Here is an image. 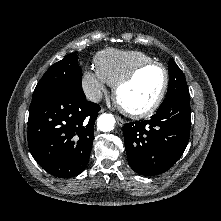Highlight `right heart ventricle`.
Instances as JSON below:
<instances>
[{
  "mask_svg": "<svg viewBox=\"0 0 221 221\" xmlns=\"http://www.w3.org/2000/svg\"><path fill=\"white\" fill-rule=\"evenodd\" d=\"M153 60L148 54L137 50L107 49L95 57L96 72L111 86L135 66Z\"/></svg>",
  "mask_w": 221,
  "mask_h": 221,
  "instance_id": "1",
  "label": "right heart ventricle"
}]
</instances>
